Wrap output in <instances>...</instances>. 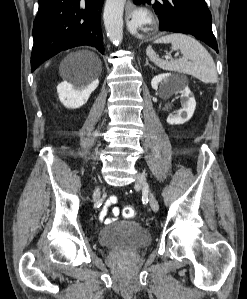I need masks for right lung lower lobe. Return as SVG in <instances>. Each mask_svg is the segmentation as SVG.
Returning <instances> with one entry per match:
<instances>
[{"mask_svg":"<svg viewBox=\"0 0 247 299\" xmlns=\"http://www.w3.org/2000/svg\"><path fill=\"white\" fill-rule=\"evenodd\" d=\"M104 0H39L34 20L31 69L62 50L96 47L104 54L100 15Z\"/></svg>","mask_w":247,"mask_h":299,"instance_id":"obj_1","label":"right lung lower lobe"}]
</instances>
